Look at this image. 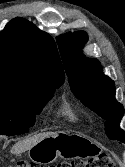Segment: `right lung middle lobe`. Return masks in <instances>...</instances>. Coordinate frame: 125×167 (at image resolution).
Masks as SVG:
<instances>
[{
	"label": "right lung middle lobe",
	"mask_w": 125,
	"mask_h": 167,
	"mask_svg": "<svg viewBox=\"0 0 125 167\" xmlns=\"http://www.w3.org/2000/svg\"><path fill=\"white\" fill-rule=\"evenodd\" d=\"M60 86L33 95L0 92V134L18 135L28 132L53 92Z\"/></svg>",
	"instance_id": "obj_1"
}]
</instances>
